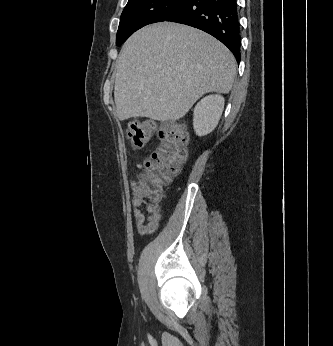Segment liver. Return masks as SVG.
Masks as SVG:
<instances>
[{
	"mask_svg": "<svg viewBox=\"0 0 333 346\" xmlns=\"http://www.w3.org/2000/svg\"><path fill=\"white\" fill-rule=\"evenodd\" d=\"M235 74L233 54L211 35L177 23L144 27L118 57L117 117L178 120L205 93H228Z\"/></svg>",
	"mask_w": 333,
	"mask_h": 346,
	"instance_id": "1",
	"label": "liver"
}]
</instances>
